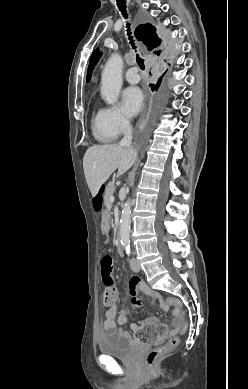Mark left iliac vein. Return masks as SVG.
<instances>
[{"label":"left iliac vein","mask_w":248,"mask_h":389,"mask_svg":"<svg viewBox=\"0 0 248 389\" xmlns=\"http://www.w3.org/2000/svg\"><path fill=\"white\" fill-rule=\"evenodd\" d=\"M130 267L134 272H139L140 271V265L137 261L136 258L132 257L130 260Z\"/></svg>","instance_id":"obj_1"}]
</instances>
